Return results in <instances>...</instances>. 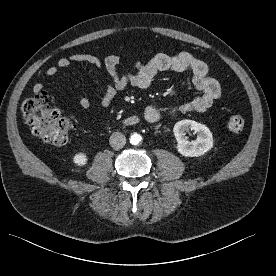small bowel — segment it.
Masks as SVG:
<instances>
[{
    "mask_svg": "<svg viewBox=\"0 0 276 276\" xmlns=\"http://www.w3.org/2000/svg\"><path fill=\"white\" fill-rule=\"evenodd\" d=\"M120 62L121 58L118 55L101 58L90 53H74L58 59L57 65L48 67L45 73L49 77L59 75L63 69L68 68L72 63H88L98 68L104 67L110 76V82L106 84L105 92L99 100V106L108 107L118 93L130 87L148 88L159 72H190L192 84L201 91V95L167 109H160L153 105L147 106L144 110V118L150 123L159 121L163 114L174 116L182 113L205 112L221 94L220 84L209 76L206 63L194 58L188 52H180L176 55L159 53L145 63L137 62L135 72L124 75L118 69ZM32 90L34 93L44 91V86L42 83H35ZM78 101L84 109L91 106L88 98L82 93L78 94Z\"/></svg>",
    "mask_w": 276,
    "mask_h": 276,
    "instance_id": "1",
    "label": "small bowel"
}]
</instances>
